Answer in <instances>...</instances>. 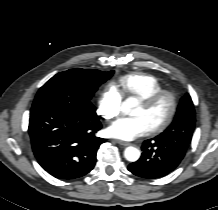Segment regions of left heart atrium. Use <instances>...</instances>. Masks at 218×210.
Here are the masks:
<instances>
[{
    "label": "left heart atrium",
    "instance_id": "1",
    "mask_svg": "<svg viewBox=\"0 0 218 210\" xmlns=\"http://www.w3.org/2000/svg\"><path fill=\"white\" fill-rule=\"evenodd\" d=\"M150 127L143 117L121 118L107 128V134L116 139L130 141L144 136Z\"/></svg>",
    "mask_w": 218,
    "mask_h": 210
}]
</instances>
